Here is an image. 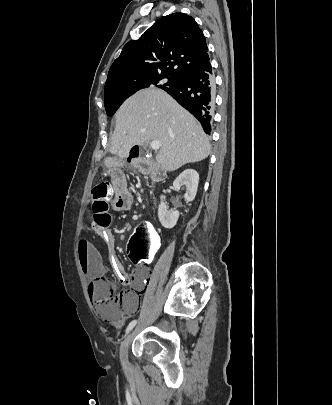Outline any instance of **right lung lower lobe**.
<instances>
[{"label":"right lung lower lobe","mask_w":332,"mask_h":405,"mask_svg":"<svg viewBox=\"0 0 332 405\" xmlns=\"http://www.w3.org/2000/svg\"><path fill=\"white\" fill-rule=\"evenodd\" d=\"M166 92L192 113L201 122L205 133L210 134L215 83L209 61L182 75L179 83Z\"/></svg>","instance_id":"1"}]
</instances>
